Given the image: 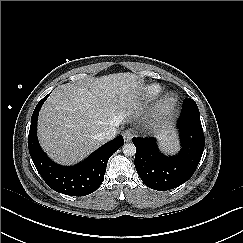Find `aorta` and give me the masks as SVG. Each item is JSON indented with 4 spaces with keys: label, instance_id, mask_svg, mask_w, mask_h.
Segmentation results:
<instances>
[{
    "label": "aorta",
    "instance_id": "obj_1",
    "mask_svg": "<svg viewBox=\"0 0 243 243\" xmlns=\"http://www.w3.org/2000/svg\"><path fill=\"white\" fill-rule=\"evenodd\" d=\"M122 150L125 156H134L136 153V147L133 143L124 144Z\"/></svg>",
    "mask_w": 243,
    "mask_h": 243
}]
</instances>
